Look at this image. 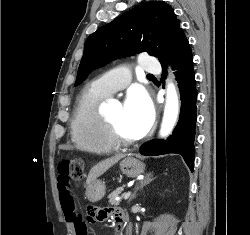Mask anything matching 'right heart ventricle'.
Here are the masks:
<instances>
[{
  "mask_svg": "<svg viewBox=\"0 0 250 235\" xmlns=\"http://www.w3.org/2000/svg\"><path fill=\"white\" fill-rule=\"evenodd\" d=\"M108 97L90 86L76 104L71 135L75 146L82 152L105 154L116 149L101 112V105Z\"/></svg>",
  "mask_w": 250,
  "mask_h": 235,
  "instance_id": "e07e8e85",
  "label": "right heart ventricle"
}]
</instances>
